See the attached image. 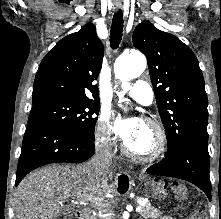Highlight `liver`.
I'll use <instances>...</instances> for the list:
<instances>
[{"label":"liver","instance_id":"6515ba94","mask_svg":"<svg viewBox=\"0 0 221 219\" xmlns=\"http://www.w3.org/2000/svg\"><path fill=\"white\" fill-rule=\"evenodd\" d=\"M106 176H97L90 162L77 166L52 165L31 172L15 192V219H54L69 200H86L98 207L113 193Z\"/></svg>","mask_w":221,"mask_h":219}]
</instances>
